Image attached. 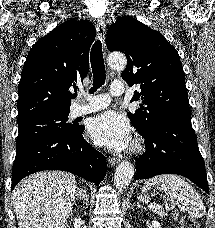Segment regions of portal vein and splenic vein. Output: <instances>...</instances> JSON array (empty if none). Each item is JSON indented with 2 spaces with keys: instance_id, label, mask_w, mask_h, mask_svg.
Returning <instances> with one entry per match:
<instances>
[{
  "instance_id": "1",
  "label": "portal vein and splenic vein",
  "mask_w": 215,
  "mask_h": 228,
  "mask_svg": "<svg viewBox=\"0 0 215 228\" xmlns=\"http://www.w3.org/2000/svg\"><path fill=\"white\" fill-rule=\"evenodd\" d=\"M148 208H150V210H157V208H161L160 204H149ZM167 210H170V208H168V206H166Z\"/></svg>"
}]
</instances>
